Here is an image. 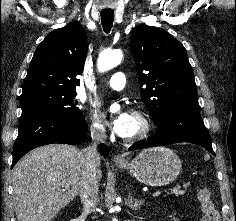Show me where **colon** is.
I'll return each mask as SVG.
<instances>
[{
    "label": "colon",
    "mask_w": 236,
    "mask_h": 221,
    "mask_svg": "<svg viewBox=\"0 0 236 221\" xmlns=\"http://www.w3.org/2000/svg\"><path fill=\"white\" fill-rule=\"evenodd\" d=\"M197 198L202 211L201 221H219V213L215 207L210 191L206 187L197 190Z\"/></svg>",
    "instance_id": "obj_1"
}]
</instances>
